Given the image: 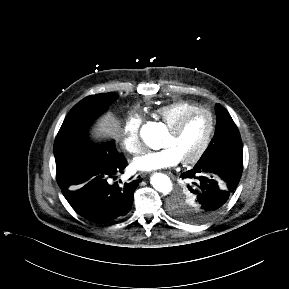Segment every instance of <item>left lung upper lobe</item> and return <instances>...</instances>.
<instances>
[{"instance_id":"obj_1","label":"left lung upper lobe","mask_w":289,"mask_h":289,"mask_svg":"<svg viewBox=\"0 0 289 289\" xmlns=\"http://www.w3.org/2000/svg\"><path fill=\"white\" fill-rule=\"evenodd\" d=\"M217 123L215 135L209 146L194 167H205L222 161H242V141L234 121L228 111L220 104L216 105ZM172 214L189 223H202L192 195L178 194L171 203Z\"/></svg>"}]
</instances>
